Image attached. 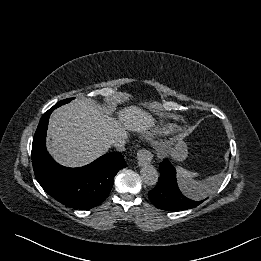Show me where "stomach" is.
<instances>
[{
  "instance_id": "obj_1",
  "label": "stomach",
  "mask_w": 261,
  "mask_h": 261,
  "mask_svg": "<svg viewBox=\"0 0 261 261\" xmlns=\"http://www.w3.org/2000/svg\"><path fill=\"white\" fill-rule=\"evenodd\" d=\"M170 156L177 161H183L188 156V148L182 138H178L174 146L170 148Z\"/></svg>"
}]
</instances>
